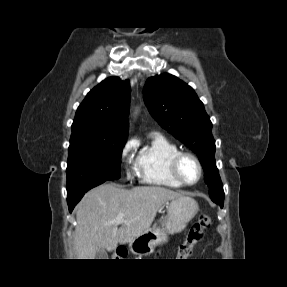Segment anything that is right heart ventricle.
<instances>
[{"label": "right heart ventricle", "instance_id": "obj_1", "mask_svg": "<svg viewBox=\"0 0 287 287\" xmlns=\"http://www.w3.org/2000/svg\"><path fill=\"white\" fill-rule=\"evenodd\" d=\"M180 148L160 134L151 135L150 141L137 155L135 168L145 184L179 188L182 185L171 173V161Z\"/></svg>", "mask_w": 287, "mask_h": 287}]
</instances>
